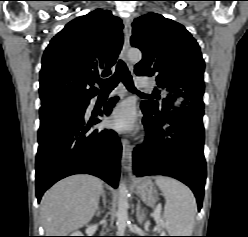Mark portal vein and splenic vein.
Here are the masks:
<instances>
[{
	"label": "portal vein and splenic vein",
	"mask_w": 248,
	"mask_h": 237,
	"mask_svg": "<svg viewBox=\"0 0 248 237\" xmlns=\"http://www.w3.org/2000/svg\"><path fill=\"white\" fill-rule=\"evenodd\" d=\"M160 212H161V206L159 205L155 211V221H156L158 226H160L162 223V219L160 217Z\"/></svg>",
	"instance_id": "1"
}]
</instances>
